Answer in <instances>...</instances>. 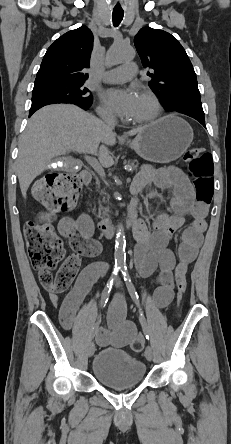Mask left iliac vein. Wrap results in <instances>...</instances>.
Listing matches in <instances>:
<instances>
[{
	"label": "left iliac vein",
	"instance_id": "1",
	"mask_svg": "<svg viewBox=\"0 0 231 444\" xmlns=\"http://www.w3.org/2000/svg\"><path fill=\"white\" fill-rule=\"evenodd\" d=\"M120 286H121L120 282H117L116 287L119 288ZM145 357L149 361H151L153 358V350H152L151 346H149V345L145 349Z\"/></svg>",
	"mask_w": 231,
	"mask_h": 444
}]
</instances>
